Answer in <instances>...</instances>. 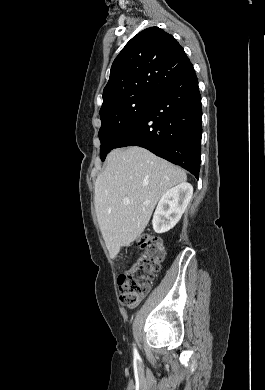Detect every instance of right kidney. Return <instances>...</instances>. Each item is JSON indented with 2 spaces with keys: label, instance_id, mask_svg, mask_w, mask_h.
<instances>
[{
  "label": "right kidney",
  "instance_id": "ca27d5eb",
  "mask_svg": "<svg viewBox=\"0 0 265 390\" xmlns=\"http://www.w3.org/2000/svg\"><path fill=\"white\" fill-rule=\"evenodd\" d=\"M193 195L189 183H181L168 190L159 200L153 215L152 225L156 233H165L180 220Z\"/></svg>",
  "mask_w": 265,
  "mask_h": 390
}]
</instances>
